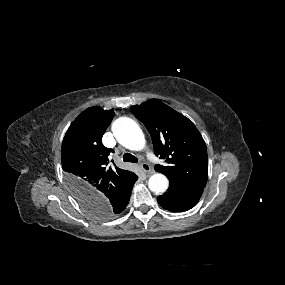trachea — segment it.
<instances>
[{
  "instance_id": "1",
  "label": "trachea",
  "mask_w": 285,
  "mask_h": 285,
  "mask_svg": "<svg viewBox=\"0 0 285 285\" xmlns=\"http://www.w3.org/2000/svg\"><path fill=\"white\" fill-rule=\"evenodd\" d=\"M123 161H124V162L137 163V162H138V159H137L134 155H131L130 153H125V154L123 155Z\"/></svg>"
}]
</instances>
